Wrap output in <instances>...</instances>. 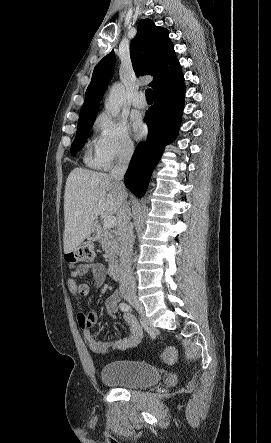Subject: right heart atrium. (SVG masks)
<instances>
[{"instance_id":"d8ad5b80","label":"right heart atrium","mask_w":271,"mask_h":443,"mask_svg":"<svg viewBox=\"0 0 271 443\" xmlns=\"http://www.w3.org/2000/svg\"><path fill=\"white\" fill-rule=\"evenodd\" d=\"M93 128L97 132L93 151L101 165L109 166L113 161L133 153L135 144L125 121L101 111L93 121Z\"/></svg>"}]
</instances>
